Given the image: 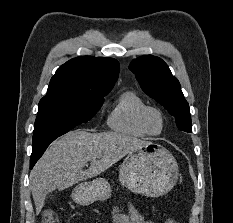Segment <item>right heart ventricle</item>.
<instances>
[{
    "label": "right heart ventricle",
    "mask_w": 233,
    "mask_h": 223,
    "mask_svg": "<svg viewBox=\"0 0 233 223\" xmlns=\"http://www.w3.org/2000/svg\"><path fill=\"white\" fill-rule=\"evenodd\" d=\"M146 106L145 100L137 91L132 89L122 91L106 115L107 127L125 136L147 137L140 125V113Z\"/></svg>",
    "instance_id": "1"
}]
</instances>
